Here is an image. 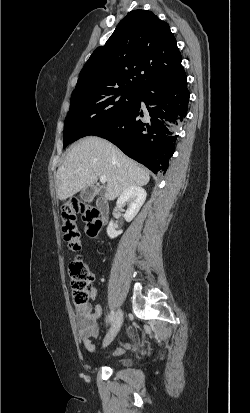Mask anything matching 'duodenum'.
Masks as SVG:
<instances>
[{
    "mask_svg": "<svg viewBox=\"0 0 250 413\" xmlns=\"http://www.w3.org/2000/svg\"><path fill=\"white\" fill-rule=\"evenodd\" d=\"M98 216L102 223H106L109 214V206L106 201L98 200L96 205Z\"/></svg>",
    "mask_w": 250,
    "mask_h": 413,
    "instance_id": "duodenum-1",
    "label": "duodenum"
}]
</instances>
